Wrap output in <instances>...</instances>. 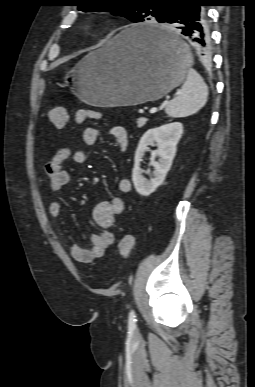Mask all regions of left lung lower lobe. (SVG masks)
<instances>
[{"label": "left lung lower lobe", "instance_id": "obj_1", "mask_svg": "<svg viewBox=\"0 0 255 387\" xmlns=\"http://www.w3.org/2000/svg\"><path fill=\"white\" fill-rule=\"evenodd\" d=\"M211 5L208 0H181L171 2L162 23L180 24L181 34L188 36L197 52L202 56L210 53V37L206 24V12L203 6ZM146 14V13H145ZM145 39L168 52H176L178 45L172 36L164 30L144 32Z\"/></svg>", "mask_w": 255, "mask_h": 387}]
</instances>
